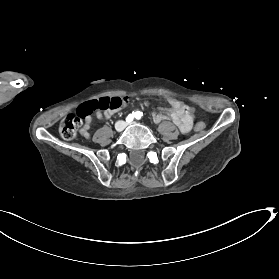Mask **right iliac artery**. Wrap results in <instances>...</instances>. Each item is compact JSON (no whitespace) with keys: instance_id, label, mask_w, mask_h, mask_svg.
<instances>
[{"instance_id":"1","label":"right iliac artery","mask_w":279,"mask_h":279,"mask_svg":"<svg viewBox=\"0 0 279 279\" xmlns=\"http://www.w3.org/2000/svg\"><path fill=\"white\" fill-rule=\"evenodd\" d=\"M133 119H134V114H130L126 117V122L130 123L133 121Z\"/></svg>"}]
</instances>
